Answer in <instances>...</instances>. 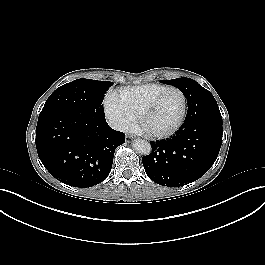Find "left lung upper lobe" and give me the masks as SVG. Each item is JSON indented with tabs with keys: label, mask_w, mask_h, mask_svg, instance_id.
Returning a JSON list of instances; mask_svg holds the SVG:
<instances>
[{
	"label": "left lung upper lobe",
	"mask_w": 265,
	"mask_h": 265,
	"mask_svg": "<svg viewBox=\"0 0 265 265\" xmlns=\"http://www.w3.org/2000/svg\"><path fill=\"white\" fill-rule=\"evenodd\" d=\"M161 82L179 88V90L184 94V96L187 99L192 94V91L194 89L203 88L196 81L190 78H177V79H172V80H162Z\"/></svg>",
	"instance_id": "1"
}]
</instances>
